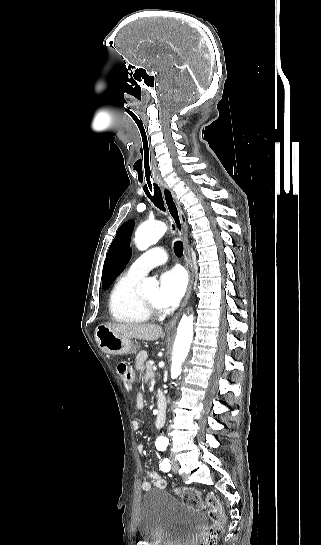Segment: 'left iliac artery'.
<instances>
[{
    "mask_svg": "<svg viewBox=\"0 0 321 545\" xmlns=\"http://www.w3.org/2000/svg\"><path fill=\"white\" fill-rule=\"evenodd\" d=\"M157 449L159 451H164L166 449V446H158ZM159 467L162 471L168 472L171 467V461L168 458H166L160 463Z\"/></svg>",
    "mask_w": 321,
    "mask_h": 545,
    "instance_id": "44dca946",
    "label": "left iliac artery"
}]
</instances>
